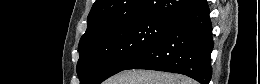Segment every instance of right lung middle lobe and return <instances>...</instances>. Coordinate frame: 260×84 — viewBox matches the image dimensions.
<instances>
[{"mask_svg":"<svg viewBox=\"0 0 260 84\" xmlns=\"http://www.w3.org/2000/svg\"><path fill=\"white\" fill-rule=\"evenodd\" d=\"M171 22L162 18L125 22L79 45L80 84H99L126 69L156 42Z\"/></svg>","mask_w":260,"mask_h":84,"instance_id":"dd1d6c3e","label":"right lung middle lobe"}]
</instances>
